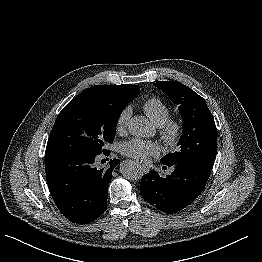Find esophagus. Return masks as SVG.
I'll use <instances>...</instances> for the list:
<instances>
[{
    "label": "esophagus",
    "instance_id": "obj_1",
    "mask_svg": "<svg viewBox=\"0 0 262 262\" xmlns=\"http://www.w3.org/2000/svg\"><path fill=\"white\" fill-rule=\"evenodd\" d=\"M139 166L143 170V172L145 173L149 172V168L146 167L143 163L139 162Z\"/></svg>",
    "mask_w": 262,
    "mask_h": 262
}]
</instances>
